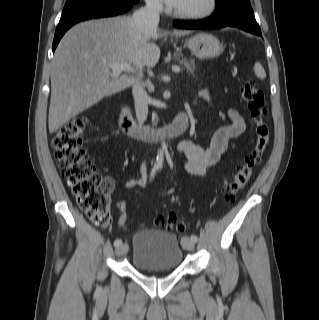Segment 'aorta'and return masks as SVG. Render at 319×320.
<instances>
[{
  "label": "aorta",
  "instance_id": "aorta-1",
  "mask_svg": "<svg viewBox=\"0 0 319 320\" xmlns=\"http://www.w3.org/2000/svg\"><path fill=\"white\" fill-rule=\"evenodd\" d=\"M164 161V149L161 148L158 150L157 157H156V164L157 166H162Z\"/></svg>",
  "mask_w": 319,
  "mask_h": 320
}]
</instances>
